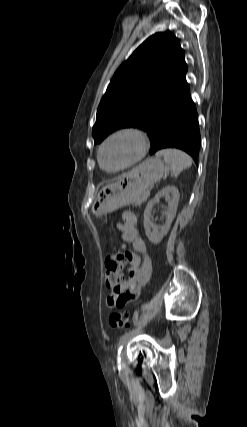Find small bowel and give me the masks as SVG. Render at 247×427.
<instances>
[{"label": "small bowel", "instance_id": "1", "mask_svg": "<svg viewBox=\"0 0 247 427\" xmlns=\"http://www.w3.org/2000/svg\"><path fill=\"white\" fill-rule=\"evenodd\" d=\"M118 229L121 231L123 241L131 244L133 252L125 255L130 265L128 277L113 288L107 297L106 302L110 308H120L136 300L140 289L149 281L153 271V260L137 230L136 216L131 212H124Z\"/></svg>", "mask_w": 247, "mask_h": 427}]
</instances>
